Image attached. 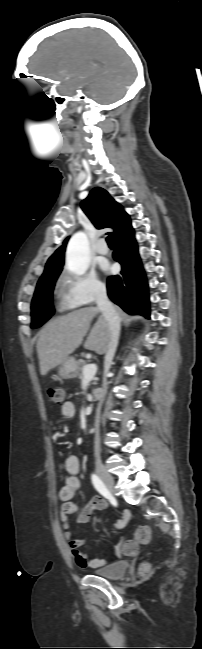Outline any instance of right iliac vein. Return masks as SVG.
Returning <instances> with one entry per match:
<instances>
[{
  "label": "right iliac vein",
  "mask_w": 202,
  "mask_h": 649,
  "mask_svg": "<svg viewBox=\"0 0 202 649\" xmlns=\"http://www.w3.org/2000/svg\"><path fill=\"white\" fill-rule=\"evenodd\" d=\"M96 471L104 484L110 489V491H115V483L113 477L106 471L104 466L101 463H96Z\"/></svg>",
  "instance_id": "obj_1"
}]
</instances>
